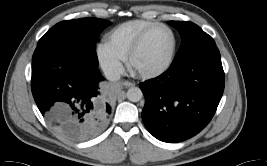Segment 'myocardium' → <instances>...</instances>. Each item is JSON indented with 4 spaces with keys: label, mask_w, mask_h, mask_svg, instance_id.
I'll return each mask as SVG.
<instances>
[{
    "label": "myocardium",
    "mask_w": 267,
    "mask_h": 166,
    "mask_svg": "<svg viewBox=\"0 0 267 166\" xmlns=\"http://www.w3.org/2000/svg\"><path fill=\"white\" fill-rule=\"evenodd\" d=\"M159 28H165V29L169 30L171 35H172V38H173V46H172L171 54H170L168 61L162 67H160L156 70H152V71H138V70H136L134 65H133L134 57L141 49L146 38L153 31H155ZM176 50H177V36H176V33L174 32V30L169 25H166L164 23H157V24L153 25L152 27H150L149 29H147L144 33H142L140 35V37L135 41V43L133 44V46L131 47V49L129 50V52L127 54V57H126L127 65H128L130 70L134 71L137 75H139L142 78H155V77L163 74L164 72H166L170 68V66L172 65V63L174 61V58L176 55Z\"/></svg>",
    "instance_id": "1"
}]
</instances>
